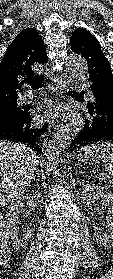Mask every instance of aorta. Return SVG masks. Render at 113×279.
<instances>
[{
  "instance_id": "aorta-1",
  "label": "aorta",
  "mask_w": 113,
  "mask_h": 279,
  "mask_svg": "<svg viewBox=\"0 0 113 279\" xmlns=\"http://www.w3.org/2000/svg\"><path fill=\"white\" fill-rule=\"evenodd\" d=\"M66 68L73 77L86 81L88 78V65L80 55L71 54L67 57ZM85 125V119L81 114H76L68 123L59 130L55 138L49 144L46 152V170L59 175L58 155L62 149H65L80 134Z\"/></svg>"
}]
</instances>
